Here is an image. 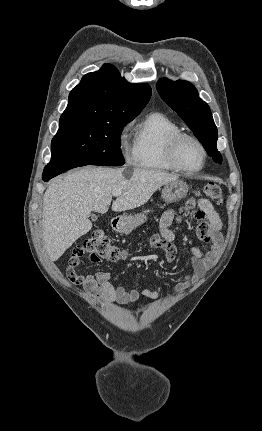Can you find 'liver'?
<instances>
[{"label":"liver","instance_id":"1","mask_svg":"<svg viewBox=\"0 0 262 431\" xmlns=\"http://www.w3.org/2000/svg\"><path fill=\"white\" fill-rule=\"evenodd\" d=\"M124 169L88 166L54 179L43 197L42 235L52 261L92 228L91 211L104 214L112 192L122 194L112 210L122 212L144 205L161 186L178 179L177 175L134 168L130 177Z\"/></svg>","mask_w":262,"mask_h":431}]
</instances>
